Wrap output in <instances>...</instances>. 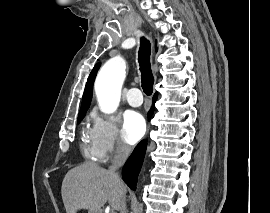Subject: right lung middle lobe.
I'll return each instance as SVG.
<instances>
[{"label": "right lung middle lobe", "mask_w": 270, "mask_h": 213, "mask_svg": "<svg viewBox=\"0 0 270 213\" xmlns=\"http://www.w3.org/2000/svg\"><path fill=\"white\" fill-rule=\"evenodd\" d=\"M84 115H85V112L79 113L78 121H80L83 118Z\"/></svg>", "instance_id": "dd1d6c3e"}]
</instances>
